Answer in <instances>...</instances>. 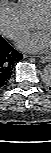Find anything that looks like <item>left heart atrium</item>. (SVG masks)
<instances>
[{
    "mask_svg": "<svg viewBox=\"0 0 51 153\" xmlns=\"http://www.w3.org/2000/svg\"><path fill=\"white\" fill-rule=\"evenodd\" d=\"M50 43V34L43 29H39L34 33L24 36L18 42V45L26 51L43 52L49 48Z\"/></svg>",
    "mask_w": 51,
    "mask_h": 153,
    "instance_id": "1",
    "label": "left heart atrium"
}]
</instances>
